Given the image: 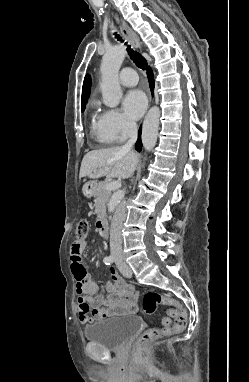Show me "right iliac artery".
Instances as JSON below:
<instances>
[{
    "instance_id": "1",
    "label": "right iliac artery",
    "mask_w": 249,
    "mask_h": 382,
    "mask_svg": "<svg viewBox=\"0 0 249 382\" xmlns=\"http://www.w3.org/2000/svg\"><path fill=\"white\" fill-rule=\"evenodd\" d=\"M113 260H114L113 256H112V255H109V256H106V257L104 258V263H105L106 265H110V264L113 262Z\"/></svg>"
}]
</instances>
